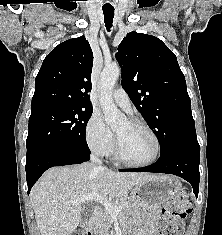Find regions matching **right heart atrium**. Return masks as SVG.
<instances>
[{"label": "right heart atrium", "instance_id": "right-heart-atrium-1", "mask_svg": "<svg viewBox=\"0 0 222 235\" xmlns=\"http://www.w3.org/2000/svg\"><path fill=\"white\" fill-rule=\"evenodd\" d=\"M85 137L89 148L97 155H108L114 149V135L98 112H94L90 116L86 125Z\"/></svg>", "mask_w": 222, "mask_h": 235}]
</instances>
